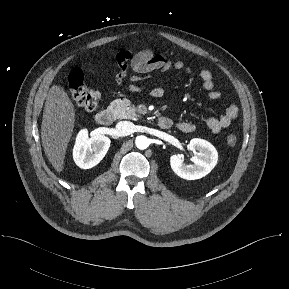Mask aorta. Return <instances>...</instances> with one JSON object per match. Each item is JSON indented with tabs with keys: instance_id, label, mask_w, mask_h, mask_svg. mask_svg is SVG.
<instances>
[{
	"instance_id": "aorta-1",
	"label": "aorta",
	"mask_w": 289,
	"mask_h": 289,
	"mask_svg": "<svg viewBox=\"0 0 289 289\" xmlns=\"http://www.w3.org/2000/svg\"><path fill=\"white\" fill-rule=\"evenodd\" d=\"M135 143H136L137 148L141 150H144L149 146V140L146 136H138L136 138Z\"/></svg>"
}]
</instances>
